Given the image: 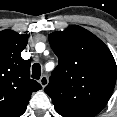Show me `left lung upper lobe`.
Instances as JSON below:
<instances>
[{
    "label": "left lung upper lobe",
    "instance_id": "1",
    "mask_svg": "<svg viewBox=\"0 0 117 117\" xmlns=\"http://www.w3.org/2000/svg\"><path fill=\"white\" fill-rule=\"evenodd\" d=\"M48 37L59 65L45 93L63 117L96 116L115 86L117 66L112 53L99 38L77 25Z\"/></svg>",
    "mask_w": 117,
    "mask_h": 117
}]
</instances>
